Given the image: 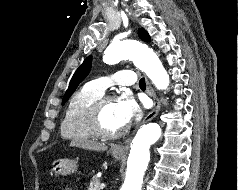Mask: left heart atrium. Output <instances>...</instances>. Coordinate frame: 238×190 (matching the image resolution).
I'll return each instance as SVG.
<instances>
[{
  "label": "left heart atrium",
  "mask_w": 238,
  "mask_h": 190,
  "mask_svg": "<svg viewBox=\"0 0 238 190\" xmlns=\"http://www.w3.org/2000/svg\"><path fill=\"white\" fill-rule=\"evenodd\" d=\"M121 115L126 123L130 122L139 112L137 102L131 96H124L118 100Z\"/></svg>",
  "instance_id": "left-heart-atrium-1"
}]
</instances>
